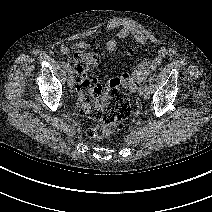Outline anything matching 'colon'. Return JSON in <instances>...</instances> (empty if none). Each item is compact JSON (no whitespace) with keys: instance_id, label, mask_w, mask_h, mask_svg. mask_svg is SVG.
I'll use <instances>...</instances> for the list:
<instances>
[{"instance_id":"obj_1","label":"colon","mask_w":212,"mask_h":212,"mask_svg":"<svg viewBox=\"0 0 212 212\" xmlns=\"http://www.w3.org/2000/svg\"><path fill=\"white\" fill-rule=\"evenodd\" d=\"M98 64L99 57L95 53L78 51L74 54L80 112L95 122L87 130V135L103 139L117 132L132 112L130 100L120 87L138 88L144 78L137 74H123L111 80L103 89L93 76Z\"/></svg>"}]
</instances>
